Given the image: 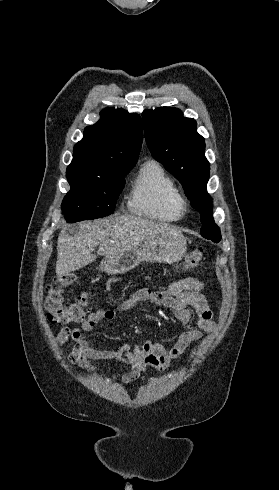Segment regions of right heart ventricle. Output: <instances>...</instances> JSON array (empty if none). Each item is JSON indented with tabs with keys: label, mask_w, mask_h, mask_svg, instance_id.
<instances>
[{
	"label": "right heart ventricle",
	"mask_w": 279,
	"mask_h": 490,
	"mask_svg": "<svg viewBox=\"0 0 279 490\" xmlns=\"http://www.w3.org/2000/svg\"><path fill=\"white\" fill-rule=\"evenodd\" d=\"M129 206L133 213L163 223L178 222L186 213L178 181L155 159L140 166L131 187Z\"/></svg>",
	"instance_id": "1"
}]
</instances>
